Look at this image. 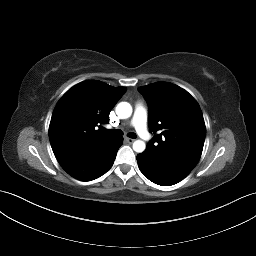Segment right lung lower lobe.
Returning a JSON list of instances; mask_svg holds the SVG:
<instances>
[{"label":"right lung lower lobe","instance_id":"1","mask_svg":"<svg viewBox=\"0 0 256 256\" xmlns=\"http://www.w3.org/2000/svg\"><path fill=\"white\" fill-rule=\"evenodd\" d=\"M122 143L123 138L118 136L115 140L95 148L89 154L60 165L69 175L78 180L97 179L111 168Z\"/></svg>","mask_w":256,"mask_h":256}]
</instances>
